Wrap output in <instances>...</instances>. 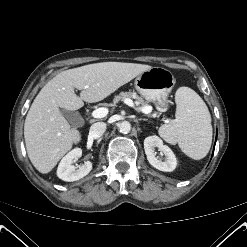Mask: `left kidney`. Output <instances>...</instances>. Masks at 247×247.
Listing matches in <instances>:
<instances>
[{
	"label": "left kidney",
	"mask_w": 247,
	"mask_h": 247,
	"mask_svg": "<svg viewBox=\"0 0 247 247\" xmlns=\"http://www.w3.org/2000/svg\"><path fill=\"white\" fill-rule=\"evenodd\" d=\"M155 148L163 152L166 159L162 161L156 157ZM144 149L148 162L156 169L164 172H172L177 166V160L173 151L156 135L144 140Z\"/></svg>",
	"instance_id": "5707ae66"
}]
</instances>
